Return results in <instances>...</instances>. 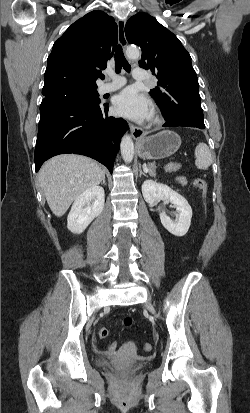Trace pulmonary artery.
Listing matches in <instances>:
<instances>
[{
    "label": "pulmonary artery",
    "instance_id": "obj_1",
    "mask_svg": "<svg viewBox=\"0 0 250 413\" xmlns=\"http://www.w3.org/2000/svg\"><path fill=\"white\" fill-rule=\"evenodd\" d=\"M111 81L104 83L100 87L101 93H108L121 88L125 84V79L121 76L114 74L113 72L108 73ZM133 77L136 80L143 81L146 80V72L142 68H135L133 71Z\"/></svg>",
    "mask_w": 250,
    "mask_h": 413
}]
</instances>
